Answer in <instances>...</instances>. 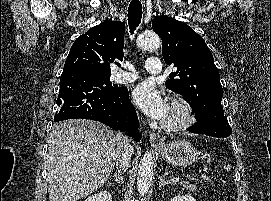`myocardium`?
<instances>
[{"instance_id": "myocardium-1", "label": "myocardium", "mask_w": 271, "mask_h": 201, "mask_svg": "<svg viewBox=\"0 0 271 201\" xmlns=\"http://www.w3.org/2000/svg\"><path fill=\"white\" fill-rule=\"evenodd\" d=\"M170 111L174 114L173 119L164 120L162 127L169 132L184 131L195 122V115L190 104L182 99L175 98L171 103Z\"/></svg>"}]
</instances>
